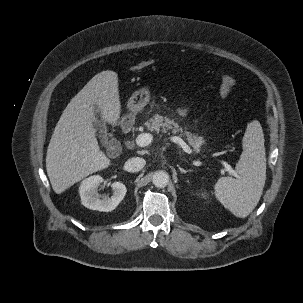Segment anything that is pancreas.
<instances>
[{"mask_svg":"<svg viewBox=\"0 0 303 303\" xmlns=\"http://www.w3.org/2000/svg\"><path fill=\"white\" fill-rule=\"evenodd\" d=\"M146 127L150 131H156L157 133H167L171 131L173 134L180 133V136H185L188 143L193 147L195 151H199L200 147L204 144L203 137H199L196 134H192L187 130H183L182 127L168 117L160 116L155 114L149 121L145 123Z\"/></svg>","mask_w":303,"mask_h":303,"instance_id":"cf45deb5","label":"pancreas"}]
</instances>
